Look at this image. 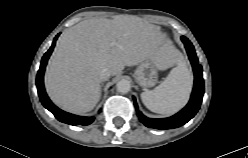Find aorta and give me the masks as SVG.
Instances as JSON below:
<instances>
[{"label":"aorta","instance_id":"762f6f07","mask_svg":"<svg viewBox=\"0 0 248 158\" xmlns=\"http://www.w3.org/2000/svg\"><path fill=\"white\" fill-rule=\"evenodd\" d=\"M117 91L126 94L130 91L131 85L127 80H121L116 84Z\"/></svg>","mask_w":248,"mask_h":158}]
</instances>
